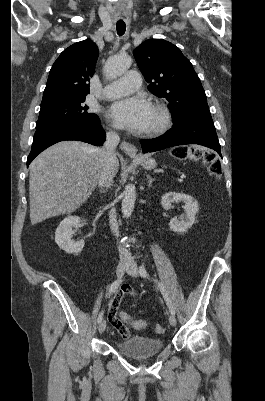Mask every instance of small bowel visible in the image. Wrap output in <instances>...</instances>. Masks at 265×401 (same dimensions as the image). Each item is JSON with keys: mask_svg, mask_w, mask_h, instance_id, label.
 <instances>
[{"mask_svg": "<svg viewBox=\"0 0 265 401\" xmlns=\"http://www.w3.org/2000/svg\"><path fill=\"white\" fill-rule=\"evenodd\" d=\"M134 294H135V291L130 286H128V285L122 286L119 289V291L116 293L113 300L111 301L110 306H109V312L111 311V312L117 313V309L120 305L122 298L125 295H134Z\"/></svg>", "mask_w": 265, "mask_h": 401, "instance_id": "1", "label": "small bowel"}]
</instances>
